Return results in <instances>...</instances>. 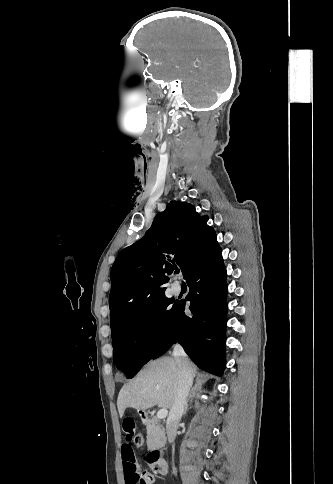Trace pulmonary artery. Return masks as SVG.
<instances>
[{
    "mask_svg": "<svg viewBox=\"0 0 333 484\" xmlns=\"http://www.w3.org/2000/svg\"><path fill=\"white\" fill-rule=\"evenodd\" d=\"M171 290L176 295L180 294L181 293V290H182L180 283L179 282H174L172 284V286H171Z\"/></svg>",
    "mask_w": 333,
    "mask_h": 484,
    "instance_id": "obj_1",
    "label": "pulmonary artery"
}]
</instances>
